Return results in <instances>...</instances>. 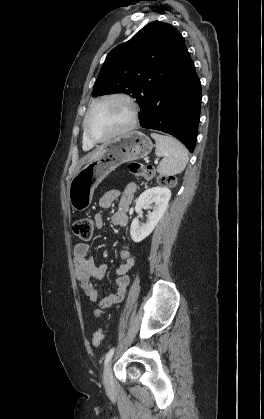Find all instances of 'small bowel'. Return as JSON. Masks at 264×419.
<instances>
[{"label": "small bowel", "mask_w": 264, "mask_h": 419, "mask_svg": "<svg viewBox=\"0 0 264 419\" xmlns=\"http://www.w3.org/2000/svg\"><path fill=\"white\" fill-rule=\"evenodd\" d=\"M136 188L135 183H129L123 189L111 188L107 190L100 198V206L104 209L109 208L115 200L119 199V207L111 216V223L121 229H124L128 224L127 212L133 201ZM94 221L98 229H102L105 226V221L101 214H96ZM121 259L122 262L116 269V291L100 299L96 281L104 278L108 266L95 264L94 259L90 255L88 244L78 243L74 247L75 277L85 295L96 305L95 315L97 317H101L107 309L120 302L125 296L126 288L130 282L129 271L135 265L136 256L130 249L125 248L121 252Z\"/></svg>", "instance_id": "obj_1"}]
</instances>
